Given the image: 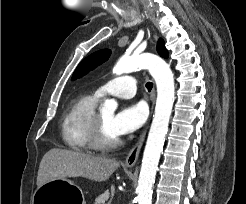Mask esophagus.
<instances>
[{"label": "esophagus", "instance_id": "esophagus-1", "mask_svg": "<svg viewBox=\"0 0 246 204\" xmlns=\"http://www.w3.org/2000/svg\"><path fill=\"white\" fill-rule=\"evenodd\" d=\"M152 101L154 104L155 101V91L153 92V97H152ZM146 132H147V128L142 132V134L140 135L137 143L133 146V148L129 151L126 160H125V165L127 167H133L138 159L140 150L143 146L145 137H146Z\"/></svg>", "mask_w": 246, "mask_h": 204}]
</instances>
